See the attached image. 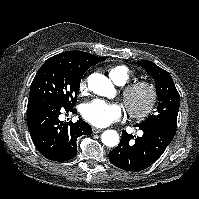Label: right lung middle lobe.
Here are the masks:
<instances>
[{
    "mask_svg": "<svg viewBox=\"0 0 199 199\" xmlns=\"http://www.w3.org/2000/svg\"><path fill=\"white\" fill-rule=\"evenodd\" d=\"M82 75L83 73L47 60L33 79L29 97L46 94L59 100L65 107L73 108L77 102Z\"/></svg>",
    "mask_w": 199,
    "mask_h": 199,
    "instance_id": "obj_1",
    "label": "right lung middle lobe"
}]
</instances>
